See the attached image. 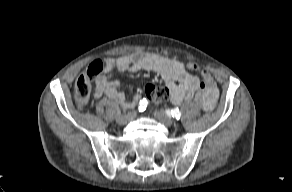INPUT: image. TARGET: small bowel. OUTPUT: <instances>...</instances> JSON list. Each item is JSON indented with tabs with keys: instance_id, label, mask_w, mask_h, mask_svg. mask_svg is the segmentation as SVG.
I'll use <instances>...</instances> for the list:
<instances>
[{
	"instance_id": "c3829d8e",
	"label": "small bowel",
	"mask_w": 292,
	"mask_h": 192,
	"mask_svg": "<svg viewBox=\"0 0 292 192\" xmlns=\"http://www.w3.org/2000/svg\"><path fill=\"white\" fill-rule=\"evenodd\" d=\"M105 74L99 76L94 85V96H107L123 108L135 106L140 96L127 99L120 90V82L114 80L113 72L136 73L150 71L159 74L166 84L169 99L174 105L195 99L204 110H213L218 99V88L212 75L196 65L161 56L156 53L138 51L107 60ZM190 71H199L201 79Z\"/></svg>"
}]
</instances>
